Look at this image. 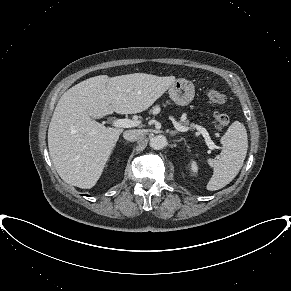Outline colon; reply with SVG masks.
Instances as JSON below:
<instances>
[{"instance_id": "obj_1", "label": "colon", "mask_w": 291, "mask_h": 291, "mask_svg": "<svg viewBox=\"0 0 291 291\" xmlns=\"http://www.w3.org/2000/svg\"><path fill=\"white\" fill-rule=\"evenodd\" d=\"M207 101L212 105H221L226 101L225 96L215 89H210L206 93ZM214 124L217 129H224L229 124V117L221 112L214 114Z\"/></svg>"}]
</instances>
